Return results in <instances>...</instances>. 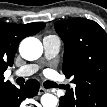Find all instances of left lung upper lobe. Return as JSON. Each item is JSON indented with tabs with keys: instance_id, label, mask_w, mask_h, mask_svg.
Listing matches in <instances>:
<instances>
[{
	"instance_id": "5c2ea615",
	"label": "left lung upper lobe",
	"mask_w": 107,
	"mask_h": 107,
	"mask_svg": "<svg viewBox=\"0 0 107 107\" xmlns=\"http://www.w3.org/2000/svg\"><path fill=\"white\" fill-rule=\"evenodd\" d=\"M55 30L65 43L62 71L80 95L107 93V34L94 21L75 18L57 21Z\"/></svg>"
}]
</instances>
